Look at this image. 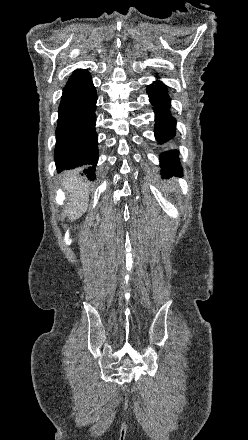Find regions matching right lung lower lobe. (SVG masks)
<instances>
[{"label":"right lung lower lobe","mask_w":248,"mask_h":440,"mask_svg":"<svg viewBox=\"0 0 248 440\" xmlns=\"http://www.w3.org/2000/svg\"><path fill=\"white\" fill-rule=\"evenodd\" d=\"M96 100V89L91 80L63 90L54 155L58 172L79 168L82 175L95 179L98 161Z\"/></svg>","instance_id":"1"}]
</instances>
